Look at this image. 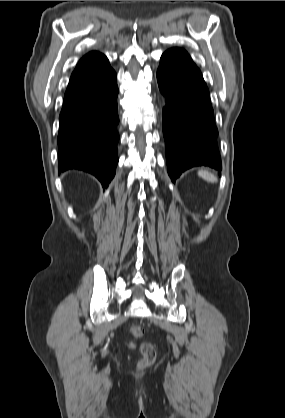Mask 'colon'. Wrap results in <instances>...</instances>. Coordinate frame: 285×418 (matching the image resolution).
<instances>
[{
    "label": "colon",
    "instance_id": "colon-1",
    "mask_svg": "<svg viewBox=\"0 0 285 418\" xmlns=\"http://www.w3.org/2000/svg\"><path fill=\"white\" fill-rule=\"evenodd\" d=\"M129 332L135 338H140L143 336V329L139 326H132L129 329ZM141 358L138 361V368L145 369L151 366L156 359V349L150 343H143L140 346Z\"/></svg>",
    "mask_w": 285,
    "mask_h": 418
}]
</instances>
